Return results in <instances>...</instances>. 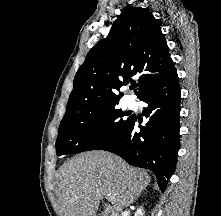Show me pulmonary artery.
I'll return each mask as SVG.
<instances>
[{
  "instance_id": "e3ab8cb5",
  "label": "pulmonary artery",
  "mask_w": 221,
  "mask_h": 216,
  "mask_svg": "<svg viewBox=\"0 0 221 216\" xmlns=\"http://www.w3.org/2000/svg\"><path fill=\"white\" fill-rule=\"evenodd\" d=\"M136 100L132 97H130L128 100H127V106L129 108H135L136 107Z\"/></svg>"
}]
</instances>
